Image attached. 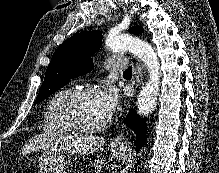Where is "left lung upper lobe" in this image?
I'll list each match as a JSON object with an SVG mask.
<instances>
[{
    "label": "left lung upper lobe",
    "instance_id": "obj_1",
    "mask_svg": "<svg viewBox=\"0 0 219 173\" xmlns=\"http://www.w3.org/2000/svg\"><path fill=\"white\" fill-rule=\"evenodd\" d=\"M133 34H142L139 26L129 29ZM102 33L86 31L65 41L53 54L47 67L35 104L62 88L71 78L86 74L93 69L92 54L100 49Z\"/></svg>",
    "mask_w": 219,
    "mask_h": 173
}]
</instances>
